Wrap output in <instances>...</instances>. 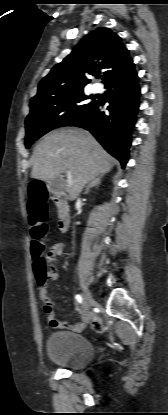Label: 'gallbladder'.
I'll return each instance as SVG.
<instances>
[{
    "mask_svg": "<svg viewBox=\"0 0 168 415\" xmlns=\"http://www.w3.org/2000/svg\"><path fill=\"white\" fill-rule=\"evenodd\" d=\"M64 187V180L60 177H55L49 180V188L53 191L61 190Z\"/></svg>",
    "mask_w": 168,
    "mask_h": 415,
    "instance_id": "bac80fb5",
    "label": "gallbladder"
}]
</instances>
